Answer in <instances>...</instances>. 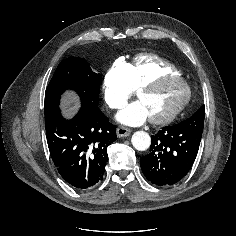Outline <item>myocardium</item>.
<instances>
[{
	"mask_svg": "<svg viewBox=\"0 0 236 236\" xmlns=\"http://www.w3.org/2000/svg\"><path fill=\"white\" fill-rule=\"evenodd\" d=\"M165 81L180 82L184 86L185 93L182 100L169 113L160 117H150V121L157 125L167 124L173 121L184 110L191 98V88L189 84L182 76L173 74L160 75L147 81L136 89V96L139 98L142 93L156 88Z\"/></svg>",
	"mask_w": 236,
	"mask_h": 236,
	"instance_id": "1",
	"label": "myocardium"
}]
</instances>
